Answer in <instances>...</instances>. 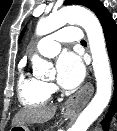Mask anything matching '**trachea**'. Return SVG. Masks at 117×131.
<instances>
[{"mask_svg": "<svg viewBox=\"0 0 117 131\" xmlns=\"http://www.w3.org/2000/svg\"><path fill=\"white\" fill-rule=\"evenodd\" d=\"M81 43L84 44V43H86V41H85V40H82Z\"/></svg>", "mask_w": 117, "mask_h": 131, "instance_id": "trachea-1", "label": "trachea"}]
</instances>
